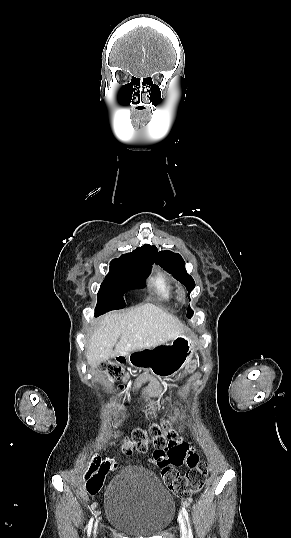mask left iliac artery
Masks as SVG:
<instances>
[{"label": "left iliac artery", "instance_id": "obj_1", "mask_svg": "<svg viewBox=\"0 0 291 538\" xmlns=\"http://www.w3.org/2000/svg\"><path fill=\"white\" fill-rule=\"evenodd\" d=\"M182 513H183V515L186 518L187 523H188L189 538H193L192 530H191L190 523H189V515H188V512H187L185 507H182Z\"/></svg>", "mask_w": 291, "mask_h": 538}]
</instances>
